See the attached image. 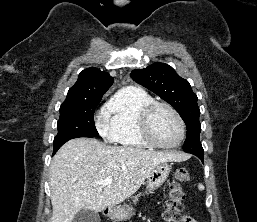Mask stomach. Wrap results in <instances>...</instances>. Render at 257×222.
I'll list each match as a JSON object with an SVG mask.
<instances>
[{
    "label": "stomach",
    "instance_id": "0dacf381",
    "mask_svg": "<svg viewBox=\"0 0 257 222\" xmlns=\"http://www.w3.org/2000/svg\"><path fill=\"white\" fill-rule=\"evenodd\" d=\"M171 166L166 162L158 164L147 177V190L152 193L158 189L167 179ZM133 215V208L129 206L112 207L109 211V217L114 221H122Z\"/></svg>",
    "mask_w": 257,
    "mask_h": 222
}]
</instances>
